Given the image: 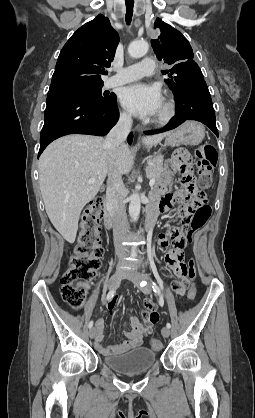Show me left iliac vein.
Masks as SVG:
<instances>
[{"instance_id": "1", "label": "left iliac vein", "mask_w": 255, "mask_h": 418, "mask_svg": "<svg viewBox=\"0 0 255 418\" xmlns=\"http://www.w3.org/2000/svg\"><path fill=\"white\" fill-rule=\"evenodd\" d=\"M125 277L128 280L134 282L135 284H139L140 281L148 279L143 273L137 271L134 268L126 271L125 272ZM140 289L144 294H150L151 290H152L151 286L149 284L141 287ZM161 334H162L163 337L168 338L169 335H170L169 328L168 327H163L162 330H161Z\"/></svg>"}]
</instances>
